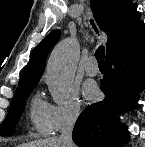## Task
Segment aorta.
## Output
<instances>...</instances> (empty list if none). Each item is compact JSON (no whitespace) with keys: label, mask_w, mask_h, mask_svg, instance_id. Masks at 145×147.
<instances>
[{"label":"aorta","mask_w":145,"mask_h":147,"mask_svg":"<svg viewBox=\"0 0 145 147\" xmlns=\"http://www.w3.org/2000/svg\"><path fill=\"white\" fill-rule=\"evenodd\" d=\"M79 59V45L74 39L60 42L47 65V84L56 103H61L70 88Z\"/></svg>","instance_id":"obj_1"}]
</instances>
